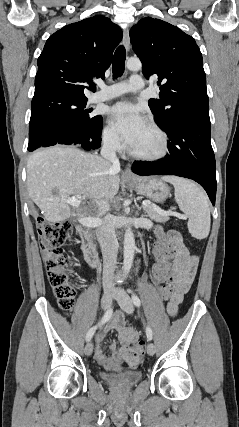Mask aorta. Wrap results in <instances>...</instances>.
Wrapping results in <instances>:
<instances>
[{
  "mask_svg": "<svg viewBox=\"0 0 239 427\" xmlns=\"http://www.w3.org/2000/svg\"><path fill=\"white\" fill-rule=\"evenodd\" d=\"M127 69L131 71H139L142 67L141 61L137 58H130L126 62ZM135 250V239L131 227H128L124 235V261L123 270L128 273L132 267Z\"/></svg>",
  "mask_w": 239,
  "mask_h": 427,
  "instance_id": "obj_1",
  "label": "aorta"
}]
</instances>
